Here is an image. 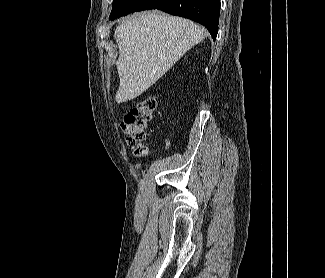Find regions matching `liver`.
Returning a JSON list of instances; mask_svg holds the SVG:
<instances>
[{"label": "liver", "instance_id": "liver-1", "mask_svg": "<svg viewBox=\"0 0 325 278\" xmlns=\"http://www.w3.org/2000/svg\"><path fill=\"white\" fill-rule=\"evenodd\" d=\"M206 35L202 26L188 19L157 11L127 18L114 33L120 80L116 102L140 96Z\"/></svg>", "mask_w": 325, "mask_h": 278}]
</instances>
